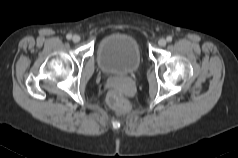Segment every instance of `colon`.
Instances as JSON below:
<instances>
[{
	"instance_id": "obj_1",
	"label": "colon",
	"mask_w": 238,
	"mask_h": 158,
	"mask_svg": "<svg viewBox=\"0 0 238 158\" xmlns=\"http://www.w3.org/2000/svg\"><path fill=\"white\" fill-rule=\"evenodd\" d=\"M109 105L118 113L121 114L128 109V102L126 99L117 91L112 90L107 97Z\"/></svg>"
}]
</instances>
